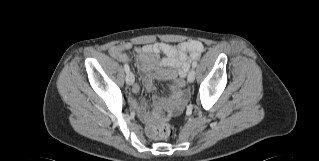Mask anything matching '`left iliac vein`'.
I'll return each instance as SVG.
<instances>
[{"label":"left iliac vein","instance_id":"left-iliac-vein-1","mask_svg":"<svg viewBox=\"0 0 319 161\" xmlns=\"http://www.w3.org/2000/svg\"><path fill=\"white\" fill-rule=\"evenodd\" d=\"M187 80L190 83H192L195 80V70L193 68L190 69V71L188 72Z\"/></svg>","mask_w":319,"mask_h":161}]
</instances>
